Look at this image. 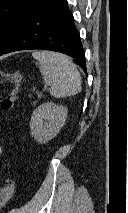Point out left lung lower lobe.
<instances>
[{
	"label": "left lung lower lobe",
	"instance_id": "0a47b994",
	"mask_svg": "<svg viewBox=\"0 0 128 213\" xmlns=\"http://www.w3.org/2000/svg\"><path fill=\"white\" fill-rule=\"evenodd\" d=\"M31 49L67 54L86 72L83 46L66 0H39L0 55Z\"/></svg>",
	"mask_w": 128,
	"mask_h": 213
}]
</instances>
